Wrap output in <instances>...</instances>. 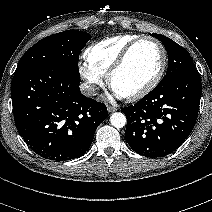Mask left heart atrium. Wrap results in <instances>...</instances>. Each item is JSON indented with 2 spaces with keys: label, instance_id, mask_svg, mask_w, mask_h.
I'll return each mask as SVG.
<instances>
[{
  "label": "left heart atrium",
  "instance_id": "1",
  "mask_svg": "<svg viewBox=\"0 0 212 212\" xmlns=\"http://www.w3.org/2000/svg\"><path fill=\"white\" fill-rule=\"evenodd\" d=\"M114 91V90H113ZM115 95L118 97H123L122 95H120L119 93H117L116 91H114Z\"/></svg>",
  "mask_w": 212,
  "mask_h": 212
}]
</instances>
